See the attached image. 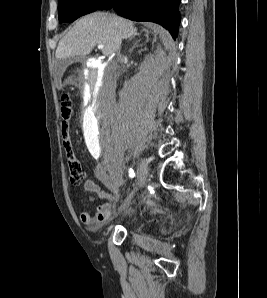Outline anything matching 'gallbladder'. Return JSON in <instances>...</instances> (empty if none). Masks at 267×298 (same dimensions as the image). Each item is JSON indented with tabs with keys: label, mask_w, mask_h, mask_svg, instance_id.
<instances>
[{
	"label": "gallbladder",
	"mask_w": 267,
	"mask_h": 298,
	"mask_svg": "<svg viewBox=\"0 0 267 298\" xmlns=\"http://www.w3.org/2000/svg\"><path fill=\"white\" fill-rule=\"evenodd\" d=\"M86 58L85 57H76V58H65V59H59L57 61V72L62 73L67 66H69L71 63H73L75 60H80L84 61Z\"/></svg>",
	"instance_id": "gallbladder-1"
}]
</instances>
